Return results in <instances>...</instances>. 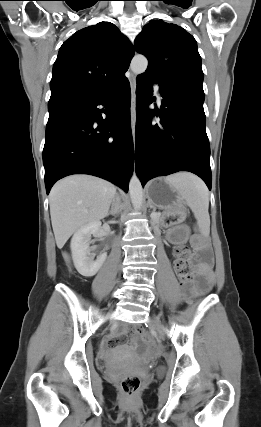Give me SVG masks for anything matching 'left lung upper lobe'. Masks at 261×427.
<instances>
[{"label": "left lung upper lobe", "mask_w": 261, "mask_h": 427, "mask_svg": "<svg viewBox=\"0 0 261 427\" xmlns=\"http://www.w3.org/2000/svg\"><path fill=\"white\" fill-rule=\"evenodd\" d=\"M135 50L148 59L141 77L162 87L181 86L204 93L196 40L182 27L152 20L135 39Z\"/></svg>", "instance_id": "5c2ea615"}]
</instances>
